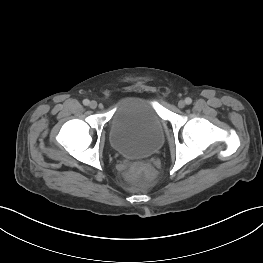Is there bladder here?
<instances>
[{
  "instance_id": "bladder-1",
  "label": "bladder",
  "mask_w": 263,
  "mask_h": 263,
  "mask_svg": "<svg viewBox=\"0 0 263 263\" xmlns=\"http://www.w3.org/2000/svg\"><path fill=\"white\" fill-rule=\"evenodd\" d=\"M111 147L127 158L149 157L164 143L163 121L153 101L139 96L122 98L108 125Z\"/></svg>"
}]
</instances>
